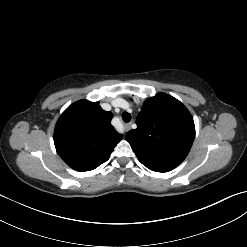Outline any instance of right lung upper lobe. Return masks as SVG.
Instances as JSON below:
<instances>
[{
  "label": "right lung upper lobe",
  "mask_w": 247,
  "mask_h": 247,
  "mask_svg": "<svg viewBox=\"0 0 247 247\" xmlns=\"http://www.w3.org/2000/svg\"><path fill=\"white\" fill-rule=\"evenodd\" d=\"M113 114L98 102L80 100L58 119L54 143L59 156L76 171H90L107 161L122 139L111 126Z\"/></svg>",
  "instance_id": "1"
}]
</instances>
